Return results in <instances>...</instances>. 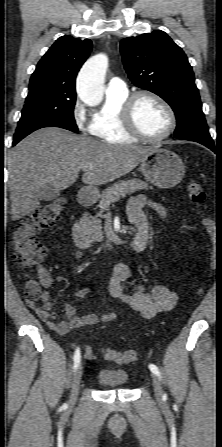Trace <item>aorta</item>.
I'll use <instances>...</instances> for the list:
<instances>
[{"instance_id":"1","label":"aorta","mask_w":222,"mask_h":447,"mask_svg":"<svg viewBox=\"0 0 222 447\" xmlns=\"http://www.w3.org/2000/svg\"><path fill=\"white\" fill-rule=\"evenodd\" d=\"M108 68L106 54H97L86 61L77 78V94L82 102L97 106L103 100V84Z\"/></svg>"}]
</instances>
